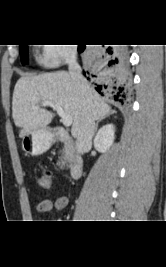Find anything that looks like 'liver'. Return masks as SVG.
I'll use <instances>...</instances> for the list:
<instances>
[{
	"label": "liver",
	"instance_id": "obj_1",
	"mask_svg": "<svg viewBox=\"0 0 166 267\" xmlns=\"http://www.w3.org/2000/svg\"><path fill=\"white\" fill-rule=\"evenodd\" d=\"M85 95L72 80L69 73L57 71L36 76H22L16 83L12 99V116L17 127L21 128L20 137L31 131L46 127L54 114L43 105L50 101L60 106L72 116L71 133L77 137L84 115L87 99L94 120L111 113V108L104 103L100 95L89 84Z\"/></svg>",
	"mask_w": 166,
	"mask_h": 267
}]
</instances>
